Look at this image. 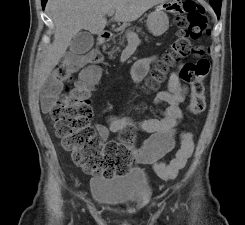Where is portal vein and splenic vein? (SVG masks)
Segmentation results:
<instances>
[{
  "instance_id": "1",
  "label": "portal vein and splenic vein",
  "mask_w": 245,
  "mask_h": 225,
  "mask_svg": "<svg viewBox=\"0 0 245 225\" xmlns=\"http://www.w3.org/2000/svg\"><path fill=\"white\" fill-rule=\"evenodd\" d=\"M107 15L108 16H113L114 15V11H109L108 13H107ZM127 39H128V41L130 42V43H136V44H139L141 41H140V39H139V37H138V35L136 34V33H134V32H131V31H129L128 33H127Z\"/></svg>"
}]
</instances>
